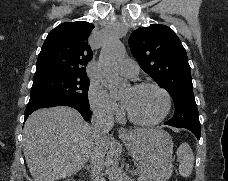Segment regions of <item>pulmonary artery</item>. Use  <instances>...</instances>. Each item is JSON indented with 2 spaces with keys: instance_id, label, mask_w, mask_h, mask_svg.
Segmentation results:
<instances>
[{
  "instance_id": "1",
  "label": "pulmonary artery",
  "mask_w": 228,
  "mask_h": 181,
  "mask_svg": "<svg viewBox=\"0 0 228 181\" xmlns=\"http://www.w3.org/2000/svg\"><path fill=\"white\" fill-rule=\"evenodd\" d=\"M123 61L126 62L125 65L119 66L120 70H124V75H128L131 78L137 77L136 71H137V62H129L130 58L126 57L123 58Z\"/></svg>"
}]
</instances>
